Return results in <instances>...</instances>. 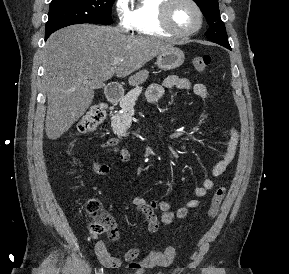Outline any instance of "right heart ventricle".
<instances>
[{
    "instance_id": "e07e8e85",
    "label": "right heart ventricle",
    "mask_w": 289,
    "mask_h": 274,
    "mask_svg": "<svg viewBox=\"0 0 289 274\" xmlns=\"http://www.w3.org/2000/svg\"><path fill=\"white\" fill-rule=\"evenodd\" d=\"M164 0H137L132 8V28L137 34L170 37L160 24V9Z\"/></svg>"
}]
</instances>
